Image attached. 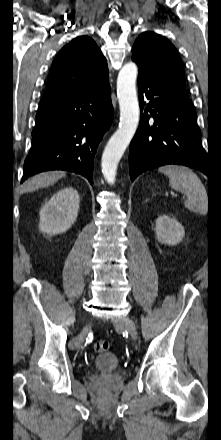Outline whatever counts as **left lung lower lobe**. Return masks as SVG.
Instances as JSON below:
<instances>
[{
    "label": "left lung lower lobe",
    "mask_w": 221,
    "mask_h": 440,
    "mask_svg": "<svg viewBox=\"0 0 221 440\" xmlns=\"http://www.w3.org/2000/svg\"><path fill=\"white\" fill-rule=\"evenodd\" d=\"M138 88L141 115L130 144L131 180L166 164L189 166L209 176L208 159L199 143L196 112L188 96L140 70Z\"/></svg>",
    "instance_id": "0a47b994"
}]
</instances>
